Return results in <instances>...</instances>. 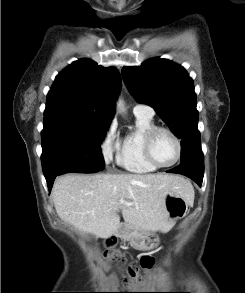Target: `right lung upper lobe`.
Wrapping results in <instances>:
<instances>
[{
    "label": "right lung upper lobe",
    "instance_id": "cb5924a9",
    "mask_svg": "<svg viewBox=\"0 0 245 293\" xmlns=\"http://www.w3.org/2000/svg\"><path fill=\"white\" fill-rule=\"evenodd\" d=\"M120 87L116 68H104L90 59L75 61L56 76L47 95L44 117H71L109 125Z\"/></svg>",
    "mask_w": 245,
    "mask_h": 293
}]
</instances>
